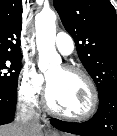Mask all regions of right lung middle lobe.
<instances>
[{
	"instance_id": "dd1d6c3e",
	"label": "right lung middle lobe",
	"mask_w": 117,
	"mask_h": 136,
	"mask_svg": "<svg viewBox=\"0 0 117 136\" xmlns=\"http://www.w3.org/2000/svg\"><path fill=\"white\" fill-rule=\"evenodd\" d=\"M20 70V57L0 56V90L16 91Z\"/></svg>"
}]
</instances>
